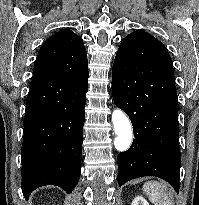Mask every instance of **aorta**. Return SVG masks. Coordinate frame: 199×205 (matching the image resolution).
<instances>
[{"label":"aorta","mask_w":199,"mask_h":205,"mask_svg":"<svg viewBox=\"0 0 199 205\" xmlns=\"http://www.w3.org/2000/svg\"><path fill=\"white\" fill-rule=\"evenodd\" d=\"M112 122L116 134V138L114 140L115 148L119 152H124L131 145V140H132L131 124L127 116L120 109H116L113 111Z\"/></svg>","instance_id":"1"}]
</instances>
